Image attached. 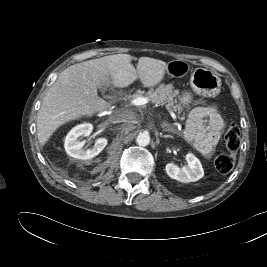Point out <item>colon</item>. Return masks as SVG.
I'll use <instances>...</instances> for the list:
<instances>
[{
	"label": "colon",
	"instance_id": "1",
	"mask_svg": "<svg viewBox=\"0 0 267 267\" xmlns=\"http://www.w3.org/2000/svg\"><path fill=\"white\" fill-rule=\"evenodd\" d=\"M226 151L215 160L216 169L223 174L230 172L235 164L236 153L240 145V130L236 124H229L224 133Z\"/></svg>",
	"mask_w": 267,
	"mask_h": 267
}]
</instances>
